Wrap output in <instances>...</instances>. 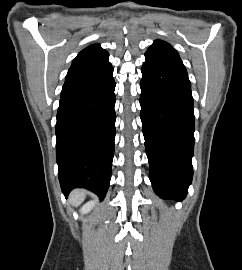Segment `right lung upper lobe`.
Here are the masks:
<instances>
[{"label":"right lung upper lobe","instance_id":"1","mask_svg":"<svg viewBox=\"0 0 242 270\" xmlns=\"http://www.w3.org/2000/svg\"><path fill=\"white\" fill-rule=\"evenodd\" d=\"M108 57V52L102 49L99 44L86 47L73 60L65 82L92 71L107 61Z\"/></svg>","mask_w":242,"mask_h":270}]
</instances>
